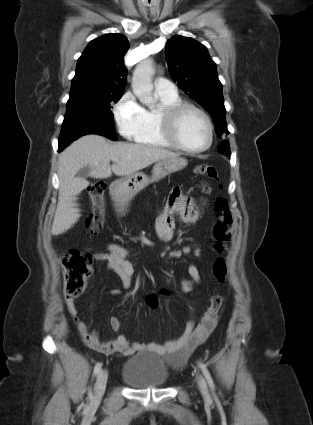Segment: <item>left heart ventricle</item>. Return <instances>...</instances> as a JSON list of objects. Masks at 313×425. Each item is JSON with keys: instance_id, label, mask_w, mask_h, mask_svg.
<instances>
[{"instance_id": "b2bd125f", "label": "left heart ventricle", "mask_w": 313, "mask_h": 425, "mask_svg": "<svg viewBox=\"0 0 313 425\" xmlns=\"http://www.w3.org/2000/svg\"><path fill=\"white\" fill-rule=\"evenodd\" d=\"M179 138L192 149L203 147L208 141V128L205 120L196 112L187 113L179 126Z\"/></svg>"}]
</instances>
